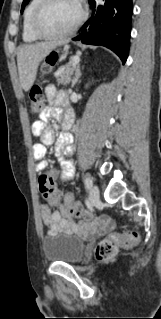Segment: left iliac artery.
<instances>
[{
  "instance_id": "left-iliac-artery-1",
  "label": "left iliac artery",
  "mask_w": 161,
  "mask_h": 319,
  "mask_svg": "<svg viewBox=\"0 0 161 319\" xmlns=\"http://www.w3.org/2000/svg\"><path fill=\"white\" fill-rule=\"evenodd\" d=\"M84 183L87 189H90L92 187V180L89 177L85 178Z\"/></svg>"
}]
</instances>
